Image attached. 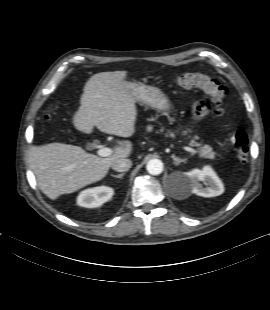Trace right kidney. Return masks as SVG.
Here are the masks:
<instances>
[{"instance_id": "1", "label": "right kidney", "mask_w": 270, "mask_h": 310, "mask_svg": "<svg viewBox=\"0 0 270 310\" xmlns=\"http://www.w3.org/2000/svg\"><path fill=\"white\" fill-rule=\"evenodd\" d=\"M113 194V189L107 186L89 188L79 194L77 204L86 208L99 207L109 201Z\"/></svg>"}]
</instances>
